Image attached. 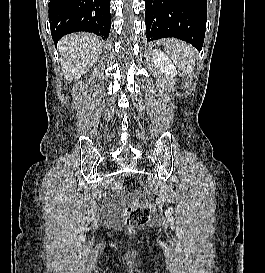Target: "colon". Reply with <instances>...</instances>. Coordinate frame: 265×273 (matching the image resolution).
<instances>
[{"label": "colon", "mask_w": 265, "mask_h": 273, "mask_svg": "<svg viewBox=\"0 0 265 273\" xmlns=\"http://www.w3.org/2000/svg\"><path fill=\"white\" fill-rule=\"evenodd\" d=\"M123 186L129 201L121 209L122 223L128 226L143 227L151 222L152 207L142 196L143 185L138 175L128 174Z\"/></svg>", "instance_id": "obj_1"}]
</instances>
